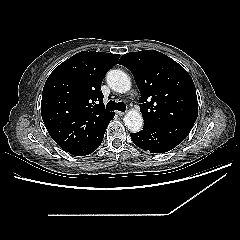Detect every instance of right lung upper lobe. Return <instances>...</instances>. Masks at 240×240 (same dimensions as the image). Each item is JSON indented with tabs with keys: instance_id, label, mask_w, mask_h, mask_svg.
Listing matches in <instances>:
<instances>
[{
	"instance_id": "1",
	"label": "right lung upper lobe",
	"mask_w": 240,
	"mask_h": 240,
	"mask_svg": "<svg viewBox=\"0 0 240 240\" xmlns=\"http://www.w3.org/2000/svg\"><path fill=\"white\" fill-rule=\"evenodd\" d=\"M120 55L82 51L56 67L42 92L41 115L53 140L74 153L92 144L114 113L105 110L101 84Z\"/></svg>"
}]
</instances>
